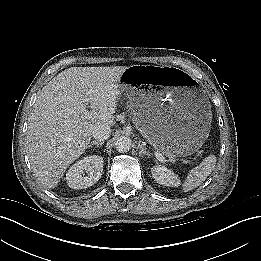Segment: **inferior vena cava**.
I'll return each instance as SVG.
<instances>
[{
  "label": "inferior vena cava",
  "instance_id": "obj_1",
  "mask_svg": "<svg viewBox=\"0 0 261 261\" xmlns=\"http://www.w3.org/2000/svg\"><path fill=\"white\" fill-rule=\"evenodd\" d=\"M110 134H111V129L110 126L107 125L98 126L92 132V136L94 137V139L100 142L107 140Z\"/></svg>",
  "mask_w": 261,
  "mask_h": 261
}]
</instances>
